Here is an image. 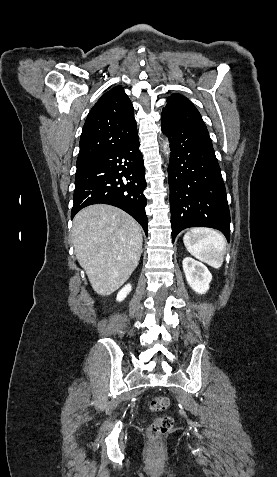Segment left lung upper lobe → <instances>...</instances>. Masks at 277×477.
Here are the masks:
<instances>
[{"instance_id": "1", "label": "left lung upper lobe", "mask_w": 277, "mask_h": 477, "mask_svg": "<svg viewBox=\"0 0 277 477\" xmlns=\"http://www.w3.org/2000/svg\"><path fill=\"white\" fill-rule=\"evenodd\" d=\"M162 123L170 125H192L205 127L196 107L180 94H172L167 99L166 107L161 115Z\"/></svg>"}]
</instances>
